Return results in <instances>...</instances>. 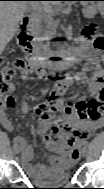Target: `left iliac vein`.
<instances>
[{
    "label": "left iliac vein",
    "instance_id": "1",
    "mask_svg": "<svg viewBox=\"0 0 104 189\" xmlns=\"http://www.w3.org/2000/svg\"><path fill=\"white\" fill-rule=\"evenodd\" d=\"M81 155H82V157H86L88 155L87 149H82Z\"/></svg>",
    "mask_w": 104,
    "mask_h": 189
}]
</instances>
